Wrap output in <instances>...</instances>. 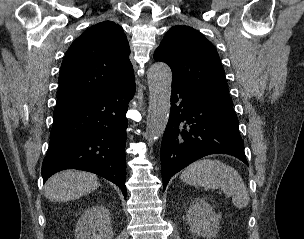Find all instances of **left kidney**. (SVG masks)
<instances>
[{
    "label": "left kidney",
    "instance_id": "5707ae66",
    "mask_svg": "<svg viewBox=\"0 0 304 239\" xmlns=\"http://www.w3.org/2000/svg\"><path fill=\"white\" fill-rule=\"evenodd\" d=\"M220 216L215 213L213 207L204 199H197L186 213V220L190 231L194 235L207 239L215 237L219 231Z\"/></svg>",
    "mask_w": 304,
    "mask_h": 239
}]
</instances>
